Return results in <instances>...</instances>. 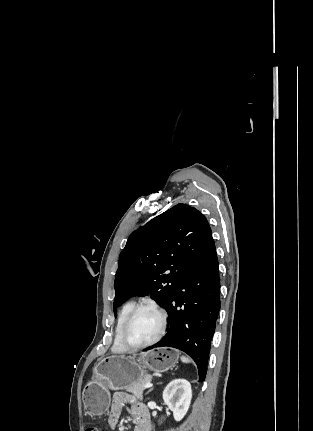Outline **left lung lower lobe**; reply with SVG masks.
Listing matches in <instances>:
<instances>
[{"label": "left lung lower lobe", "mask_w": 313, "mask_h": 431, "mask_svg": "<svg viewBox=\"0 0 313 431\" xmlns=\"http://www.w3.org/2000/svg\"><path fill=\"white\" fill-rule=\"evenodd\" d=\"M219 310L218 259L210 236L166 308V335L146 350L168 346L186 352L197 364L199 382H203Z\"/></svg>", "instance_id": "left-lung-lower-lobe-1"}]
</instances>
